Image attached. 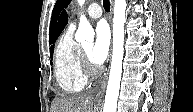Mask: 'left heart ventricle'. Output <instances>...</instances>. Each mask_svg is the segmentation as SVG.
Instances as JSON below:
<instances>
[{"label": "left heart ventricle", "mask_w": 193, "mask_h": 112, "mask_svg": "<svg viewBox=\"0 0 193 112\" xmlns=\"http://www.w3.org/2000/svg\"><path fill=\"white\" fill-rule=\"evenodd\" d=\"M92 46L93 45L90 43L82 47L90 59H91L90 54H91Z\"/></svg>", "instance_id": "obj_1"}]
</instances>
